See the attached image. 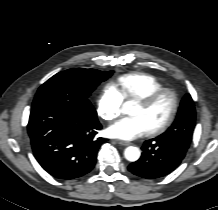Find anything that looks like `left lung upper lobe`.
I'll list each match as a JSON object with an SVG mask.
<instances>
[{
  "instance_id": "1",
  "label": "left lung upper lobe",
  "mask_w": 218,
  "mask_h": 210,
  "mask_svg": "<svg viewBox=\"0 0 218 210\" xmlns=\"http://www.w3.org/2000/svg\"><path fill=\"white\" fill-rule=\"evenodd\" d=\"M195 107L190 94H186L181 101L177 118L171 127L158 136L170 141L182 140L190 145L195 127Z\"/></svg>"
}]
</instances>
